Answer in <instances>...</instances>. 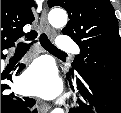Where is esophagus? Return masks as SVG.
Listing matches in <instances>:
<instances>
[{
	"mask_svg": "<svg viewBox=\"0 0 121 113\" xmlns=\"http://www.w3.org/2000/svg\"><path fill=\"white\" fill-rule=\"evenodd\" d=\"M40 22H41V24L43 25V27H44L46 33L49 34L51 28H50V26H49V24H48V21H47V11H46V9H44V11H43V13H42V15H41ZM39 104H40V108H39V109H40L42 112H47V111L50 109V105H49V104H46V103H44V102H40Z\"/></svg>",
	"mask_w": 121,
	"mask_h": 113,
	"instance_id": "obj_1",
	"label": "esophagus"
}]
</instances>
